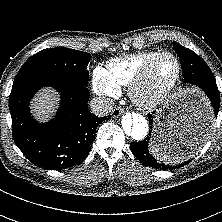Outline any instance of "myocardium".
Returning a JSON list of instances; mask_svg holds the SVG:
<instances>
[{"label":"myocardium","mask_w":222,"mask_h":222,"mask_svg":"<svg viewBox=\"0 0 222 222\" xmlns=\"http://www.w3.org/2000/svg\"><path fill=\"white\" fill-rule=\"evenodd\" d=\"M163 57H171L175 60L177 69L174 78L163 88L153 94H145L144 88L147 84L152 69L155 64ZM182 74V64L180 59L172 52L163 51L152 58L139 72L129 87V94L133 102L144 109H151L164 102L170 94L175 90Z\"/></svg>","instance_id":"obj_1"}]
</instances>
